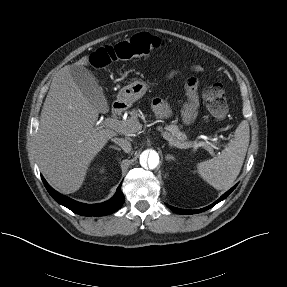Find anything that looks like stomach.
<instances>
[{
  "instance_id": "0dacf381",
  "label": "stomach",
  "mask_w": 287,
  "mask_h": 287,
  "mask_svg": "<svg viewBox=\"0 0 287 287\" xmlns=\"http://www.w3.org/2000/svg\"><path fill=\"white\" fill-rule=\"evenodd\" d=\"M148 84L144 81H134L123 87L118 93V100L126 106H131L140 99L147 91Z\"/></svg>"
}]
</instances>
